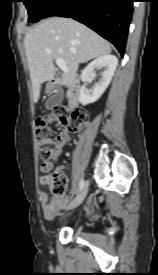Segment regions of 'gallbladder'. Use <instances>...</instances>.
Instances as JSON below:
<instances>
[{
  "instance_id": "obj_1",
  "label": "gallbladder",
  "mask_w": 158,
  "mask_h": 275,
  "mask_svg": "<svg viewBox=\"0 0 158 275\" xmlns=\"http://www.w3.org/2000/svg\"><path fill=\"white\" fill-rule=\"evenodd\" d=\"M64 98V92L61 87H57L56 91L52 96H50L45 103L46 109H52L53 107L59 105Z\"/></svg>"
}]
</instances>
